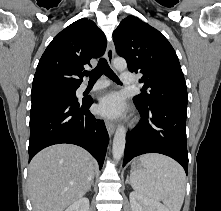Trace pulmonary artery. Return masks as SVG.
Segmentation results:
<instances>
[{
	"label": "pulmonary artery",
	"instance_id": "obj_1",
	"mask_svg": "<svg viewBox=\"0 0 221 211\" xmlns=\"http://www.w3.org/2000/svg\"><path fill=\"white\" fill-rule=\"evenodd\" d=\"M121 81L124 83V84H133L135 82V76L133 73L131 72H123L121 74ZM108 85V82L107 81H98L93 87L91 90H98V89H102L104 87H106ZM88 87L87 85H83L81 87V90L82 91H85L87 90Z\"/></svg>",
	"mask_w": 221,
	"mask_h": 211
}]
</instances>
